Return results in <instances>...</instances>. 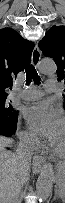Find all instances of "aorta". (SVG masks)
<instances>
[{
	"label": "aorta",
	"instance_id": "aorta-1",
	"mask_svg": "<svg viewBox=\"0 0 65 203\" xmlns=\"http://www.w3.org/2000/svg\"><path fill=\"white\" fill-rule=\"evenodd\" d=\"M57 66L52 59H42L39 63V71L44 75H54ZM55 180L53 166L45 163L36 182V193L40 202H46L51 195L53 183Z\"/></svg>",
	"mask_w": 65,
	"mask_h": 203
}]
</instances>
